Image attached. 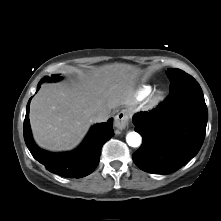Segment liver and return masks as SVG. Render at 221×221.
Returning a JSON list of instances; mask_svg holds the SVG:
<instances>
[{
  "label": "liver",
  "instance_id": "liver-1",
  "mask_svg": "<svg viewBox=\"0 0 221 221\" xmlns=\"http://www.w3.org/2000/svg\"><path fill=\"white\" fill-rule=\"evenodd\" d=\"M137 75L134 66L114 63L82 76L72 86H43L30 105L35 142L50 151L74 148L87 133L94 114L132 104Z\"/></svg>",
  "mask_w": 221,
  "mask_h": 221
}]
</instances>
